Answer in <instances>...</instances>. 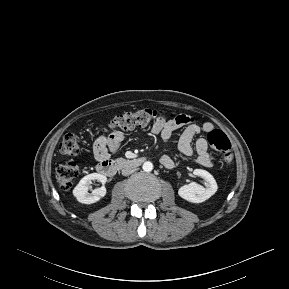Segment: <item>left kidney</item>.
<instances>
[{
    "mask_svg": "<svg viewBox=\"0 0 289 289\" xmlns=\"http://www.w3.org/2000/svg\"><path fill=\"white\" fill-rule=\"evenodd\" d=\"M193 174L204 179L205 187L195 182H192L189 185L182 186L178 190V194L181 198L189 202L201 203L214 195L218 189V186L214 177L206 170L195 169L193 171Z\"/></svg>",
    "mask_w": 289,
    "mask_h": 289,
    "instance_id": "left-kidney-1",
    "label": "left kidney"
}]
</instances>
